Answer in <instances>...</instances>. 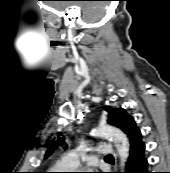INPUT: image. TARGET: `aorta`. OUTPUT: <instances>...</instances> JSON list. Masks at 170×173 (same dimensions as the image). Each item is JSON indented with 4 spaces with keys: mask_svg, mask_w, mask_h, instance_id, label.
Wrapping results in <instances>:
<instances>
[{
    "mask_svg": "<svg viewBox=\"0 0 170 173\" xmlns=\"http://www.w3.org/2000/svg\"><path fill=\"white\" fill-rule=\"evenodd\" d=\"M94 132L97 136L106 138L114 143L120 157L121 169H124L125 162L129 156V142L126 135L120 129L105 123H101Z\"/></svg>",
    "mask_w": 170,
    "mask_h": 173,
    "instance_id": "1",
    "label": "aorta"
}]
</instances>
